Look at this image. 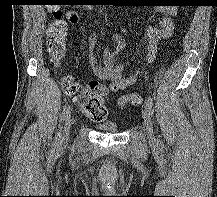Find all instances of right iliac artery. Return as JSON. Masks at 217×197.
Here are the masks:
<instances>
[{"label":"right iliac artery","mask_w":217,"mask_h":197,"mask_svg":"<svg viewBox=\"0 0 217 197\" xmlns=\"http://www.w3.org/2000/svg\"><path fill=\"white\" fill-rule=\"evenodd\" d=\"M71 111H72V107L70 105L65 106V108L63 109V111L60 115V122L64 121L70 115ZM60 137H61L60 132H57L56 137H55V141H54V145H57Z\"/></svg>","instance_id":"1"}]
</instances>
